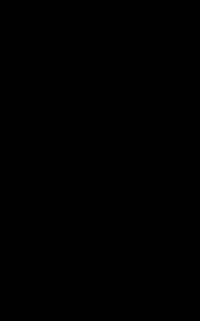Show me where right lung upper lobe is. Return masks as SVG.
<instances>
[{"label": "right lung upper lobe", "mask_w": 200, "mask_h": 321, "mask_svg": "<svg viewBox=\"0 0 200 321\" xmlns=\"http://www.w3.org/2000/svg\"><path fill=\"white\" fill-rule=\"evenodd\" d=\"M92 126L93 123L91 122L66 123L52 126L33 138L24 150L34 145L51 146L72 160L77 142ZM30 180V176L18 172L15 180L16 194H18L19 190Z\"/></svg>", "instance_id": "right-lung-upper-lobe-1"}]
</instances>
